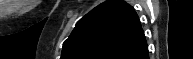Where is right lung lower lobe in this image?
Returning a JSON list of instances; mask_svg holds the SVG:
<instances>
[{
  "mask_svg": "<svg viewBox=\"0 0 193 59\" xmlns=\"http://www.w3.org/2000/svg\"><path fill=\"white\" fill-rule=\"evenodd\" d=\"M127 59H149L148 46H144L134 54L130 55Z\"/></svg>",
  "mask_w": 193,
  "mask_h": 59,
  "instance_id": "98d812e1",
  "label": "right lung lower lobe"
}]
</instances>
